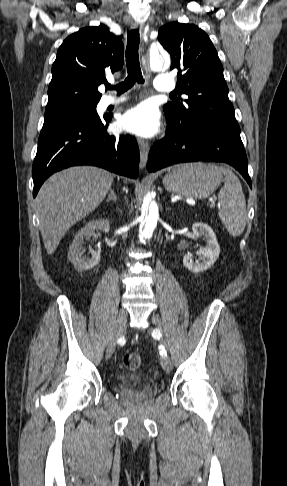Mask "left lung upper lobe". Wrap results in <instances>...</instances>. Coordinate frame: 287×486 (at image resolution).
Returning a JSON list of instances; mask_svg holds the SVG:
<instances>
[{
    "instance_id": "obj_1",
    "label": "left lung upper lobe",
    "mask_w": 287,
    "mask_h": 486,
    "mask_svg": "<svg viewBox=\"0 0 287 486\" xmlns=\"http://www.w3.org/2000/svg\"><path fill=\"white\" fill-rule=\"evenodd\" d=\"M158 40L172 57L171 69H178L179 93L188 96L164 105L166 117L180 125L206 124L240 134L223 66L208 35L196 25L171 22L159 29Z\"/></svg>"
}]
</instances>
